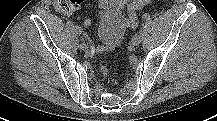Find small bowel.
I'll use <instances>...</instances> for the list:
<instances>
[{
  "instance_id": "small-bowel-1",
  "label": "small bowel",
  "mask_w": 217,
  "mask_h": 121,
  "mask_svg": "<svg viewBox=\"0 0 217 121\" xmlns=\"http://www.w3.org/2000/svg\"><path fill=\"white\" fill-rule=\"evenodd\" d=\"M151 0H98L99 4V52H106L117 47L126 29L138 26L137 12Z\"/></svg>"
}]
</instances>
